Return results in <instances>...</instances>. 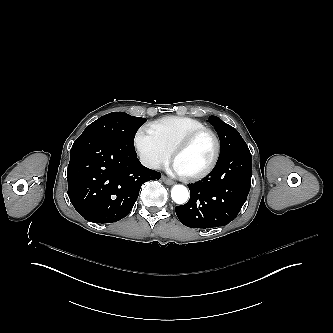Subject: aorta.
Wrapping results in <instances>:
<instances>
[{
    "label": "aorta",
    "instance_id": "762f6f07",
    "mask_svg": "<svg viewBox=\"0 0 333 333\" xmlns=\"http://www.w3.org/2000/svg\"><path fill=\"white\" fill-rule=\"evenodd\" d=\"M171 198L176 204H185L189 199L188 189L184 185H174L171 189Z\"/></svg>",
    "mask_w": 333,
    "mask_h": 333
}]
</instances>
